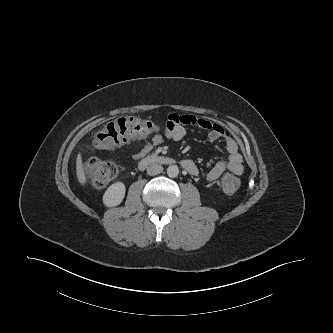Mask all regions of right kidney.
I'll use <instances>...</instances> for the list:
<instances>
[{"instance_id": "ca27d5eb", "label": "right kidney", "mask_w": 333, "mask_h": 333, "mask_svg": "<svg viewBox=\"0 0 333 333\" xmlns=\"http://www.w3.org/2000/svg\"><path fill=\"white\" fill-rule=\"evenodd\" d=\"M125 185L122 182L113 183L104 193L103 202L107 207L119 205L125 196Z\"/></svg>"}]
</instances>
